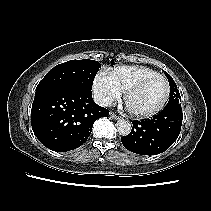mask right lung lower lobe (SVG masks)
<instances>
[{
    "label": "right lung lower lobe",
    "instance_id": "obj_1",
    "mask_svg": "<svg viewBox=\"0 0 211 211\" xmlns=\"http://www.w3.org/2000/svg\"><path fill=\"white\" fill-rule=\"evenodd\" d=\"M109 111L97 105L88 89L53 87L35 92L32 129L47 148L65 152L80 147L90 136L93 123Z\"/></svg>",
    "mask_w": 211,
    "mask_h": 211
}]
</instances>
